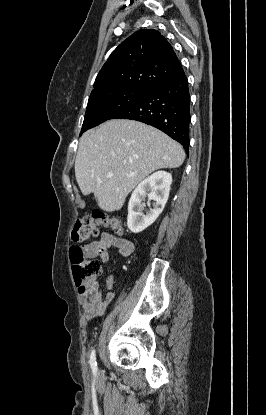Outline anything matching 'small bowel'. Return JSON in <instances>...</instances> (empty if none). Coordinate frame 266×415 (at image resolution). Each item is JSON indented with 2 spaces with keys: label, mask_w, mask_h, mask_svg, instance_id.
<instances>
[{
  "label": "small bowel",
  "mask_w": 266,
  "mask_h": 415,
  "mask_svg": "<svg viewBox=\"0 0 266 415\" xmlns=\"http://www.w3.org/2000/svg\"><path fill=\"white\" fill-rule=\"evenodd\" d=\"M85 249L91 258H99L101 263L107 264L111 262L109 252L111 249L117 250L123 257H128L134 251V244L129 239L115 236L109 232H103L99 240L87 244ZM107 285L109 288H112V277L108 278ZM114 297L113 291H109L103 297L101 288L95 279L90 280L85 288H79L82 310L89 320L103 315Z\"/></svg>",
  "instance_id": "small-bowel-1"
}]
</instances>
